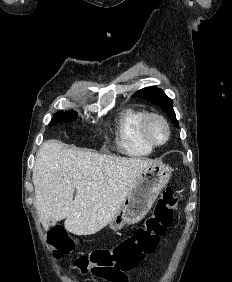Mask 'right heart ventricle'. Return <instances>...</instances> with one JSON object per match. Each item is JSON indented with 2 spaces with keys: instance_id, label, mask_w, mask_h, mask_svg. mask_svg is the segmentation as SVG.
<instances>
[{
  "instance_id": "obj_1",
  "label": "right heart ventricle",
  "mask_w": 232,
  "mask_h": 282,
  "mask_svg": "<svg viewBox=\"0 0 232 282\" xmlns=\"http://www.w3.org/2000/svg\"><path fill=\"white\" fill-rule=\"evenodd\" d=\"M145 111L133 107L123 108L117 116L115 126V143L118 151L130 157H144L152 153L139 135V124Z\"/></svg>"
}]
</instances>
